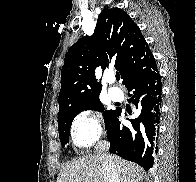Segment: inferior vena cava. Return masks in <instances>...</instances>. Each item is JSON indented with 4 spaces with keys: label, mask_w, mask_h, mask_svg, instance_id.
<instances>
[{
    "label": "inferior vena cava",
    "mask_w": 196,
    "mask_h": 182,
    "mask_svg": "<svg viewBox=\"0 0 196 182\" xmlns=\"http://www.w3.org/2000/svg\"><path fill=\"white\" fill-rule=\"evenodd\" d=\"M109 147L110 144L105 140L100 141L96 147L97 153L102 159L104 182H120L116 165L107 153Z\"/></svg>",
    "instance_id": "602c4592"
}]
</instances>
